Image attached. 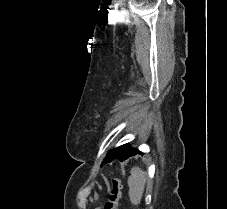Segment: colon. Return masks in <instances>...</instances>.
Returning a JSON list of instances; mask_svg holds the SVG:
<instances>
[{
    "label": "colon",
    "mask_w": 227,
    "mask_h": 209,
    "mask_svg": "<svg viewBox=\"0 0 227 209\" xmlns=\"http://www.w3.org/2000/svg\"><path fill=\"white\" fill-rule=\"evenodd\" d=\"M122 185L119 178H112L109 183L108 200L103 209H119V200L121 196Z\"/></svg>",
    "instance_id": "colon-1"
}]
</instances>
